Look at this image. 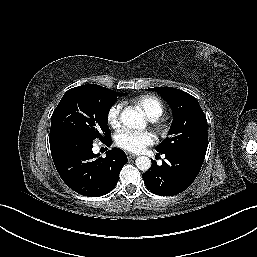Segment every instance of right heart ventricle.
<instances>
[{
  "instance_id": "obj_1",
  "label": "right heart ventricle",
  "mask_w": 257,
  "mask_h": 257,
  "mask_svg": "<svg viewBox=\"0 0 257 257\" xmlns=\"http://www.w3.org/2000/svg\"><path fill=\"white\" fill-rule=\"evenodd\" d=\"M133 104L150 120L159 118L164 111V103L154 94L141 95L133 100Z\"/></svg>"
}]
</instances>
